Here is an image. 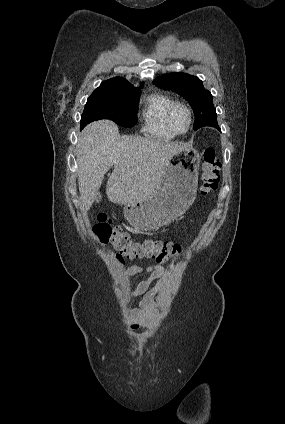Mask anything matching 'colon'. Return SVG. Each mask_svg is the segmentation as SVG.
Segmentation results:
<instances>
[{
  "label": "colon",
  "mask_w": 285,
  "mask_h": 424,
  "mask_svg": "<svg viewBox=\"0 0 285 424\" xmlns=\"http://www.w3.org/2000/svg\"><path fill=\"white\" fill-rule=\"evenodd\" d=\"M221 163L213 148L203 152V163L200 174V192L204 195L217 190L220 181ZM94 234L105 244H111L117 251L116 259L151 258L159 263L175 260L185 252L180 244L171 241L147 239L135 241L120 226L113 225L106 217L100 216L93 226Z\"/></svg>",
  "instance_id": "1"
}]
</instances>
